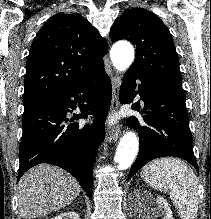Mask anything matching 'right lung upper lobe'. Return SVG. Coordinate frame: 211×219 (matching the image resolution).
Returning <instances> with one entry per match:
<instances>
[{
    "label": "right lung upper lobe",
    "mask_w": 211,
    "mask_h": 219,
    "mask_svg": "<svg viewBox=\"0 0 211 219\" xmlns=\"http://www.w3.org/2000/svg\"><path fill=\"white\" fill-rule=\"evenodd\" d=\"M108 45L80 14L52 16L37 33L27 59L24 108L44 102L104 68Z\"/></svg>",
    "instance_id": "cb5924a9"
}]
</instances>
